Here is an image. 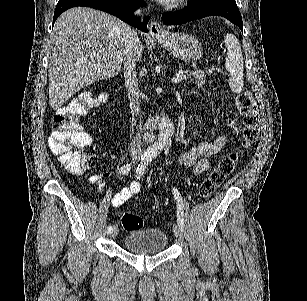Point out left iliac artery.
<instances>
[{"label": "left iliac artery", "mask_w": 307, "mask_h": 301, "mask_svg": "<svg viewBox=\"0 0 307 301\" xmlns=\"http://www.w3.org/2000/svg\"><path fill=\"white\" fill-rule=\"evenodd\" d=\"M149 161H151V159L146 160L144 162H141L136 170V174L137 177L140 179L143 174H144V170L146 169V166L148 165ZM172 192L173 195L176 199V203H177V222L179 224V226L181 227V229L183 230L184 227V218H183V208H184V204H183V199L182 196L180 194V192L178 191V189H176L175 187L172 188Z\"/></svg>", "instance_id": "44dca946"}]
</instances>
